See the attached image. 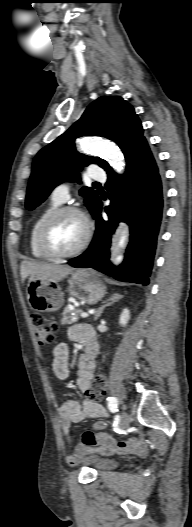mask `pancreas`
<instances>
[{
	"mask_svg": "<svg viewBox=\"0 0 192 527\" xmlns=\"http://www.w3.org/2000/svg\"><path fill=\"white\" fill-rule=\"evenodd\" d=\"M82 312L81 309H70L66 307L62 313V324H72L79 320V314Z\"/></svg>",
	"mask_w": 192,
	"mask_h": 527,
	"instance_id": "cf45deb5",
	"label": "pancreas"
}]
</instances>
